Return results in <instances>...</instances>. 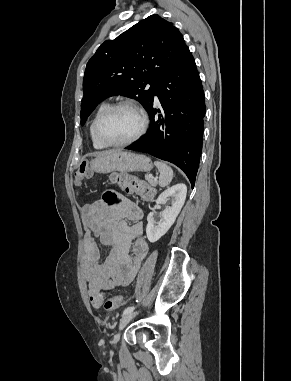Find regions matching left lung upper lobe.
I'll use <instances>...</instances> for the list:
<instances>
[{
    "instance_id": "1",
    "label": "left lung upper lobe",
    "mask_w": 291,
    "mask_h": 381,
    "mask_svg": "<svg viewBox=\"0 0 291 381\" xmlns=\"http://www.w3.org/2000/svg\"><path fill=\"white\" fill-rule=\"evenodd\" d=\"M187 49L179 30L158 15L105 41L86 66L81 124L98 103L114 95L135 99L147 109L156 86Z\"/></svg>"
}]
</instances>
